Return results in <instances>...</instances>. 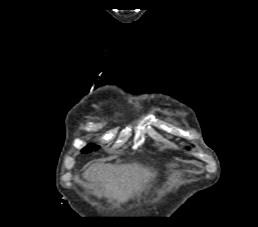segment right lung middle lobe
I'll list each match as a JSON object with an SVG mask.
<instances>
[{
    "label": "right lung middle lobe",
    "mask_w": 258,
    "mask_h": 227,
    "mask_svg": "<svg viewBox=\"0 0 258 227\" xmlns=\"http://www.w3.org/2000/svg\"><path fill=\"white\" fill-rule=\"evenodd\" d=\"M98 148H99V146H97V145L89 144L88 146H86V147L82 150V152L87 153V152L95 151V150H97Z\"/></svg>",
    "instance_id": "dd1d6c3e"
}]
</instances>
